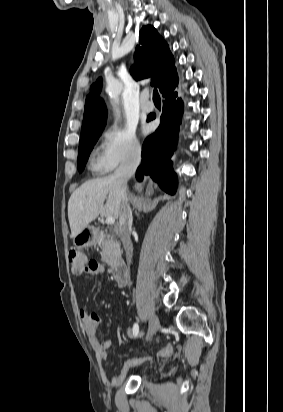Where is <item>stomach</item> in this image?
I'll list each match as a JSON object with an SVG mask.
<instances>
[{
    "instance_id": "0dacf381",
    "label": "stomach",
    "mask_w": 283,
    "mask_h": 412,
    "mask_svg": "<svg viewBox=\"0 0 283 412\" xmlns=\"http://www.w3.org/2000/svg\"><path fill=\"white\" fill-rule=\"evenodd\" d=\"M98 241V235L93 227H85L79 234L73 238V244L76 248L82 249L93 246Z\"/></svg>"
}]
</instances>
